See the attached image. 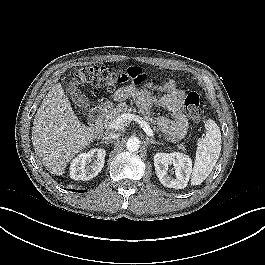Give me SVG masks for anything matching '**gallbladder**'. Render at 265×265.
<instances>
[{
	"instance_id": "bac80fb5",
	"label": "gallbladder",
	"mask_w": 265,
	"mask_h": 265,
	"mask_svg": "<svg viewBox=\"0 0 265 265\" xmlns=\"http://www.w3.org/2000/svg\"><path fill=\"white\" fill-rule=\"evenodd\" d=\"M66 91L70 95V98L73 103L77 106L86 109L90 105L88 97L83 94L79 89H77V86L74 83L69 82L66 85Z\"/></svg>"
}]
</instances>
